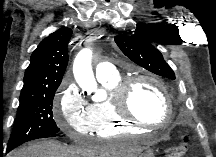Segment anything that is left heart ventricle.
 <instances>
[{
  "label": "left heart ventricle",
  "instance_id": "obj_1",
  "mask_svg": "<svg viewBox=\"0 0 216 157\" xmlns=\"http://www.w3.org/2000/svg\"><path fill=\"white\" fill-rule=\"evenodd\" d=\"M130 108L135 116L160 124L166 118V107L160 90L147 81L136 83L131 92Z\"/></svg>",
  "mask_w": 216,
  "mask_h": 157
}]
</instances>
